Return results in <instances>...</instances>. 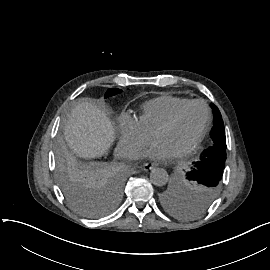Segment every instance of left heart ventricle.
Masks as SVG:
<instances>
[{"label":"left heart ventricle","instance_id":"1","mask_svg":"<svg viewBox=\"0 0 270 270\" xmlns=\"http://www.w3.org/2000/svg\"><path fill=\"white\" fill-rule=\"evenodd\" d=\"M205 120V110L201 105L187 109L179 121L171 128L162 130L153 138L168 144L176 154L189 147L201 132Z\"/></svg>","mask_w":270,"mask_h":270}]
</instances>
